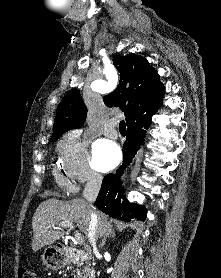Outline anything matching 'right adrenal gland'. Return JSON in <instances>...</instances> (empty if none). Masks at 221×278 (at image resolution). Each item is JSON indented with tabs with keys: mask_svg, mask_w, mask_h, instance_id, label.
<instances>
[{
	"mask_svg": "<svg viewBox=\"0 0 221 278\" xmlns=\"http://www.w3.org/2000/svg\"><path fill=\"white\" fill-rule=\"evenodd\" d=\"M114 237H115L114 230H110L106 235L103 236L99 246L100 247L104 246L108 238H114Z\"/></svg>",
	"mask_w": 221,
	"mask_h": 278,
	"instance_id": "2a0ac1e0",
	"label": "right adrenal gland"
}]
</instances>
